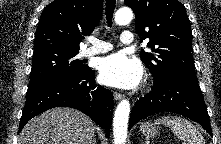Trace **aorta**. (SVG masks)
Listing matches in <instances>:
<instances>
[{"mask_svg": "<svg viewBox=\"0 0 221 144\" xmlns=\"http://www.w3.org/2000/svg\"><path fill=\"white\" fill-rule=\"evenodd\" d=\"M133 19V12L128 7L119 9L115 14V22L118 25H126ZM130 103L122 100L116 108L113 119V137L115 144H125L127 138Z\"/></svg>", "mask_w": 221, "mask_h": 144, "instance_id": "1", "label": "aorta"}]
</instances>
